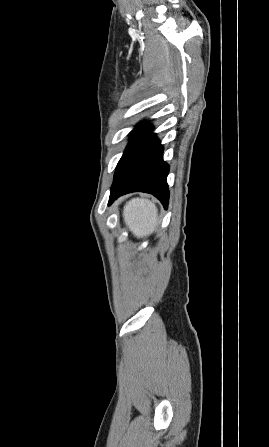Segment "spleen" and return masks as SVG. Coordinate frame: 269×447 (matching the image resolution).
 Segmentation results:
<instances>
[{
    "mask_svg": "<svg viewBox=\"0 0 269 447\" xmlns=\"http://www.w3.org/2000/svg\"><path fill=\"white\" fill-rule=\"evenodd\" d=\"M123 218L136 237H145L156 229L158 210L151 200L132 198L124 206Z\"/></svg>",
    "mask_w": 269,
    "mask_h": 447,
    "instance_id": "3e777b00",
    "label": "spleen"
}]
</instances>
